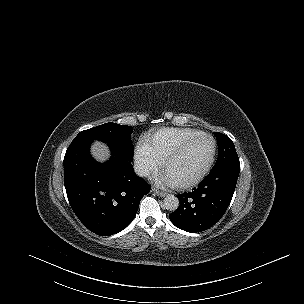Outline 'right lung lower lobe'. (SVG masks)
<instances>
[{"mask_svg": "<svg viewBox=\"0 0 304 304\" xmlns=\"http://www.w3.org/2000/svg\"><path fill=\"white\" fill-rule=\"evenodd\" d=\"M92 142L72 141L64 157V184L69 203L84 226L109 236L132 222L150 186L111 147L108 162L95 161L89 151Z\"/></svg>", "mask_w": 304, "mask_h": 304, "instance_id": "obj_1", "label": "right lung lower lobe"}]
</instances>
